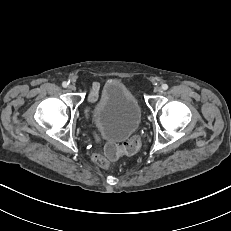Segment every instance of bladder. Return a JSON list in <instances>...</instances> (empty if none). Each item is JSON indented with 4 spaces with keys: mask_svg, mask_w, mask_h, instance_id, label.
Segmentation results:
<instances>
[{
    "mask_svg": "<svg viewBox=\"0 0 231 231\" xmlns=\"http://www.w3.org/2000/svg\"><path fill=\"white\" fill-rule=\"evenodd\" d=\"M93 123L110 140H124L139 127L142 108L128 87L118 79L107 80L93 106Z\"/></svg>",
    "mask_w": 231,
    "mask_h": 231,
    "instance_id": "obj_1",
    "label": "bladder"
}]
</instances>
